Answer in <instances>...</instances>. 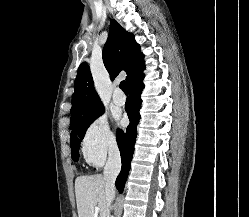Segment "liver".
<instances>
[{
  "mask_svg": "<svg viewBox=\"0 0 249 217\" xmlns=\"http://www.w3.org/2000/svg\"><path fill=\"white\" fill-rule=\"evenodd\" d=\"M106 181L100 174L79 176L75 180V194L78 217H94L95 207H99L101 217H109L106 204Z\"/></svg>",
  "mask_w": 249,
  "mask_h": 217,
  "instance_id": "1",
  "label": "liver"
}]
</instances>
